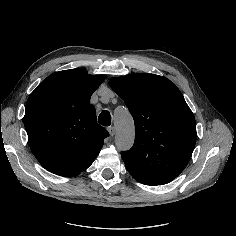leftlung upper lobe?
I'll list each match as a JSON object with an SVG mask.
<instances>
[{
	"instance_id": "1",
	"label": "left lung upper lobe",
	"mask_w": 236,
	"mask_h": 236,
	"mask_svg": "<svg viewBox=\"0 0 236 236\" xmlns=\"http://www.w3.org/2000/svg\"><path fill=\"white\" fill-rule=\"evenodd\" d=\"M111 88L124 100L135 123V141L121 156L126 168L159 184L175 179L190 160L196 122L174 83L155 74L116 77Z\"/></svg>"
}]
</instances>
